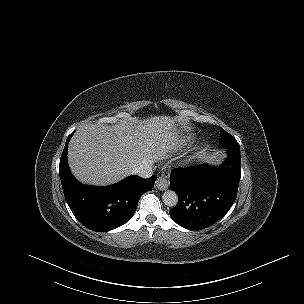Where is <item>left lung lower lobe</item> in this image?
<instances>
[{
	"instance_id": "1",
	"label": "left lung lower lobe",
	"mask_w": 304,
	"mask_h": 304,
	"mask_svg": "<svg viewBox=\"0 0 304 304\" xmlns=\"http://www.w3.org/2000/svg\"><path fill=\"white\" fill-rule=\"evenodd\" d=\"M219 167L200 165L173 170L170 187L178 195L171 218L190 230H201L220 220L232 207L241 177L240 147H228Z\"/></svg>"
}]
</instances>
